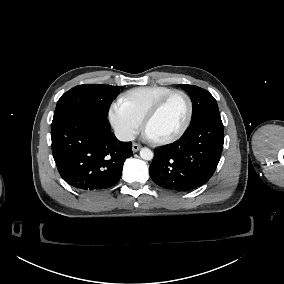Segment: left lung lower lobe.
Returning a JSON list of instances; mask_svg holds the SVG:
<instances>
[{
	"mask_svg": "<svg viewBox=\"0 0 284 284\" xmlns=\"http://www.w3.org/2000/svg\"><path fill=\"white\" fill-rule=\"evenodd\" d=\"M223 142L224 129L220 116L194 121L177 142L154 150L150 177L157 185L172 191L196 189L215 172Z\"/></svg>",
	"mask_w": 284,
	"mask_h": 284,
	"instance_id": "1",
	"label": "left lung lower lobe"
}]
</instances>
